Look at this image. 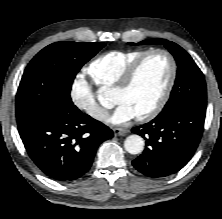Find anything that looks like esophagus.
Instances as JSON below:
<instances>
[{"label": "esophagus", "mask_w": 222, "mask_h": 219, "mask_svg": "<svg viewBox=\"0 0 222 219\" xmlns=\"http://www.w3.org/2000/svg\"><path fill=\"white\" fill-rule=\"evenodd\" d=\"M128 132H129V130L128 129H124V128L117 127V128L113 129V133H114L115 136H124Z\"/></svg>", "instance_id": "34e87169"}]
</instances>
